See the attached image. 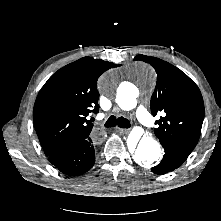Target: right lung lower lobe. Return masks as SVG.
<instances>
[{"label": "right lung lower lobe", "mask_w": 221, "mask_h": 221, "mask_svg": "<svg viewBox=\"0 0 221 221\" xmlns=\"http://www.w3.org/2000/svg\"><path fill=\"white\" fill-rule=\"evenodd\" d=\"M48 157L49 161L64 174L81 175L91 169L95 163L94 140L89 137Z\"/></svg>", "instance_id": "obj_1"}]
</instances>
